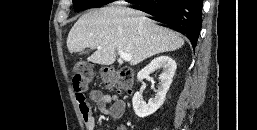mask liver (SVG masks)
Here are the masks:
<instances>
[{
  "label": "liver",
  "mask_w": 257,
  "mask_h": 130,
  "mask_svg": "<svg viewBox=\"0 0 257 130\" xmlns=\"http://www.w3.org/2000/svg\"><path fill=\"white\" fill-rule=\"evenodd\" d=\"M183 45L184 40L178 33L157 25L140 11L123 7L89 11L78 19L67 37L70 53L97 48L87 60L106 66L115 62L118 50L129 53L132 56L130 65L134 66Z\"/></svg>",
  "instance_id": "liver-1"
}]
</instances>
